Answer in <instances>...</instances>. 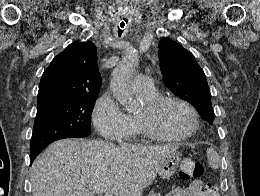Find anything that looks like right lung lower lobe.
Listing matches in <instances>:
<instances>
[{
	"label": "right lung lower lobe",
	"mask_w": 260,
	"mask_h": 196,
	"mask_svg": "<svg viewBox=\"0 0 260 196\" xmlns=\"http://www.w3.org/2000/svg\"><path fill=\"white\" fill-rule=\"evenodd\" d=\"M42 150H35L30 152V163L33 162V160L36 158V156L41 152Z\"/></svg>",
	"instance_id": "obj_1"
}]
</instances>
